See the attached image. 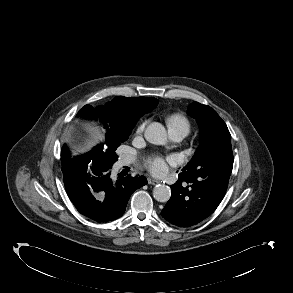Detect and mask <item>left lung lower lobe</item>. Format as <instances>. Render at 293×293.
I'll return each mask as SVG.
<instances>
[{
	"mask_svg": "<svg viewBox=\"0 0 293 293\" xmlns=\"http://www.w3.org/2000/svg\"><path fill=\"white\" fill-rule=\"evenodd\" d=\"M227 172L180 173L171 185L172 196L162 210L170 223L189 227L210 216L222 201L229 181Z\"/></svg>",
	"mask_w": 293,
	"mask_h": 293,
	"instance_id": "left-lung-lower-lobe-1",
	"label": "left lung lower lobe"
}]
</instances>
